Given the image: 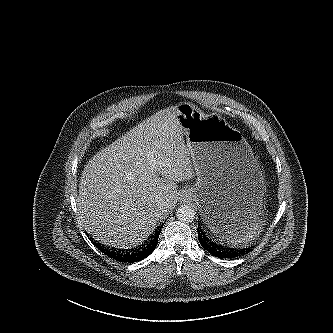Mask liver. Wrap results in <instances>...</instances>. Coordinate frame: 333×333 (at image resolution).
Wrapping results in <instances>:
<instances>
[{"instance_id": "obj_1", "label": "liver", "mask_w": 333, "mask_h": 333, "mask_svg": "<svg viewBox=\"0 0 333 333\" xmlns=\"http://www.w3.org/2000/svg\"><path fill=\"white\" fill-rule=\"evenodd\" d=\"M177 115V107L157 112L86 165L77 208L95 239L118 248L137 246L174 209L177 183L194 177ZM159 204L168 212L159 215Z\"/></svg>"}]
</instances>
